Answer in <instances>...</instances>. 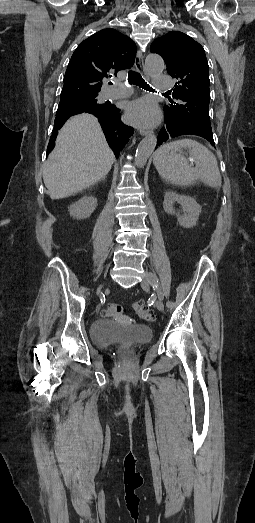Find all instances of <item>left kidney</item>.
Returning <instances> with one entry per match:
<instances>
[{
	"mask_svg": "<svg viewBox=\"0 0 255 523\" xmlns=\"http://www.w3.org/2000/svg\"><path fill=\"white\" fill-rule=\"evenodd\" d=\"M175 202L181 204L184 214H176L173 206ZM163 208L167 214H176L180 226L183 228H193L201 214V206L190 196H179L175 192H166L164 196Z\"/></svg>",
	"mask_w": 255,
	"mask_h": 523,
	"instance_id": "1",
	"label": "left kidney"
}]
</instances>
